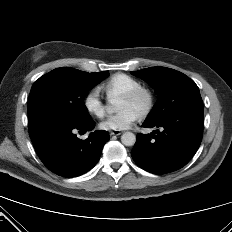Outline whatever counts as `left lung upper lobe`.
I'll list each match as a JSON object with an SVG mask.
<instances>
[{"label": "left lung upper lobe", "mask_w": 232, "mask_h": 232, "mask_svg": "<svg viewBox=\"0 0 232 232\" xmlns=\"http://www.w3.org/2000/svg\"><path fill=\"white\" fill-rule=\"evenodd\" d=\"M131 73L145 80L160 96L146 118L148 121H160L177 110L202 104L198 86L179 71L165 67H151Z\"/></svg>", "instance_id": "obj_1"}]
</instances>
